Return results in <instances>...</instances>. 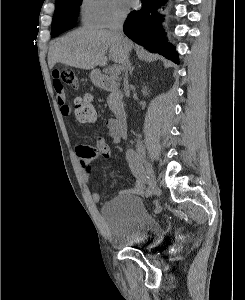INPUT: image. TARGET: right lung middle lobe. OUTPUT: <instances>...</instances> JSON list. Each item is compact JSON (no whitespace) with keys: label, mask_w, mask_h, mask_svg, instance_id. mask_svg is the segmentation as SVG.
I'll return each instance as SVG.
<instances>
[{"label":"right lung middle lobe","mask_w":245,"mask_h":300,"mask_svg":"<svg viewBox=\"0 0 245 300\" xmlns=\"http://www.w3.org/2000/svg\"><path fill=\"white\" fill-rule=\"evenodd\" d=\"M82 0H57L52 20L51 36L61 34L64 24L73 23L78 16Z\"/></svg>","instance_id":"1"}]
</instances>
